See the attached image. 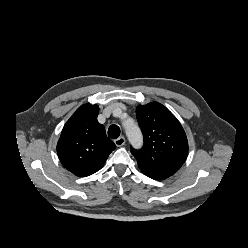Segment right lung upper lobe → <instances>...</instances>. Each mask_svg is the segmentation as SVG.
<instances>
[{"label":"right lung upper lobe","mask_w":248,"mask_h":248,"mask_svg":"<svg viewBox=\"0 0 248 248\" xmlns=\"http://www.w3.org/2000/svg\"><path fill=\"white\" fill-rule=\"evenodd\" d=\"M99 107L82 105L64 125L57 144L63 166L76 176L86 177L102 168L116 148L97 121Z\"/></svg>","instance_id":"1"}]
</instances>
